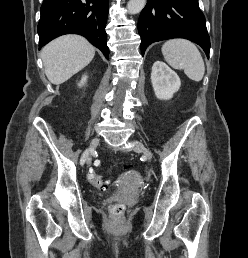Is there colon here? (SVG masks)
Instances as JSON below:
<instances>
[{
	"label": "colon",
	"instance_id": "colon-1",
	"mask_svg": "<svg viewBox=\"0 0 248 258\" xmlns=\"http://www.w3.org/2000/svg\"><path fill=\"white\" fill-rule=\"evenodd\" d=\"M125 168L128 170H136V167L133 165H126ZM86 179L97 188L103 189L106 186L105 180L98 173L93 171L87 174ZM110 211L115 217H120L124 212V206L120 203H112L110 205Z\"/></svg>",
	"mask_w": 248,
	"mask_h": 258
}]
</instances>
